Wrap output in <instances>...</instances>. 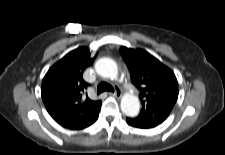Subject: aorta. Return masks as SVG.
Segmentation results:
<instances>
[{
    "mask_svg": "<svg viewBox=\"0 0 225 155\" xmlns=\"http://www.w3.org/2000/svg\"><path fill=\"white\" fill-rule=\"evenodd\" d=\"M96 72L105 78L115 79L118 75V67L116 62L110 58H100L95 64ZM121 110L129 117L138 115L140 103L138 98L133 94H124L121 99Z\"/></svg>",
    "mask_w": 225,
    "mask_h": 155,
    "instance_id": "762f6f07",
    "label": "aorta"
}]
</instances>
